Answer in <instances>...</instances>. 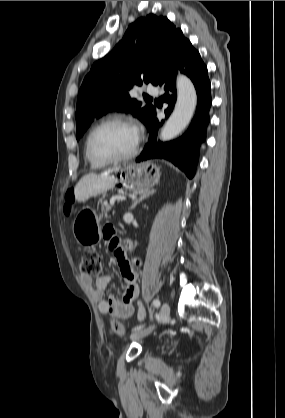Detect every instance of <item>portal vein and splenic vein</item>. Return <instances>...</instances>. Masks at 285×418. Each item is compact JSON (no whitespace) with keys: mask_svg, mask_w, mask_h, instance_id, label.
<instances>
[{"mask_svg":"<svg viewBox=\"0 0 285 418\" xmlns=\"http://www.w3.org/2000/svg\"><path fill=\"white\" fill-rule=\"evenodd\" d=\"M116 200H118V201H122V200H125V198H124V197L119 196V197H116ZM114 203H115V200H112V201H111V204H112V205H114Z\"/></svg>","mask_w":285,"mask_h":418,"instance_id":"18ae733b","label":"portal vein and splenic vein"}]
</instances>
